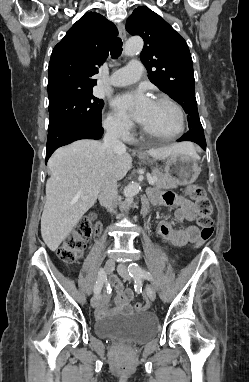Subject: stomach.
I'll return each mask as SVG.
<instances>
[{
    "instance_id": "stomach-1",
    "label": "stomach",
    "mask_w": 249,
    "mask_h": 382,
    "mask_svg": "<svg viewBox=\"0 0 249 382\" xmlns=\"http://www.w3.org/2000/svg\"><path fill=\"white\" fill-rule=\"evenodd\" d=\"M143 160H148L144 155L140 156ZM165 173L169 178L178 182L179 185L193 183L199 173L200 168L195 157L188 153H175L165 161Z\"/></svg>"
}]
</instances>
